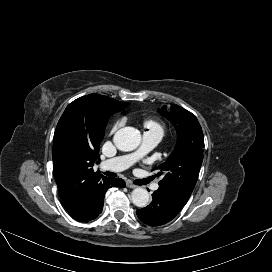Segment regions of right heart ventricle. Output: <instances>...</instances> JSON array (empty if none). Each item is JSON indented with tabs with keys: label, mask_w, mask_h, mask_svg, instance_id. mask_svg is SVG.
Here are the masks:
<instances>
[{
	"label": "right heart ventricle",
	"mask_w": 272,
	"mask_h": 272,
	"mask_svg": "<svg viewBox=\"0 0 272 272\" xmlns=\"http://www.w3.org/2000/svg\"><path fill=\"white\" fill-rule=\"evenodd\" d=\"M145 126L148 130H157V131H162V126L160 123H158L155 120H148L145 122Z\"/></svg>",
	"instance_id": "1"
}]
</instances>
